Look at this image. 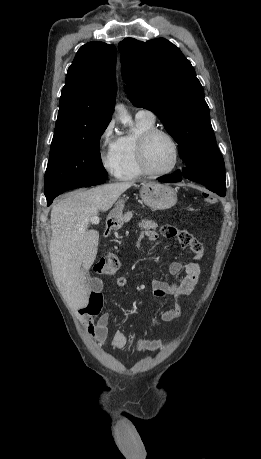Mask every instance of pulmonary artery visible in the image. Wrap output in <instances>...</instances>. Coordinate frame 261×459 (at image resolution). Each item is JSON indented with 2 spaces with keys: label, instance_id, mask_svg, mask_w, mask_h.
<instances>
[{
  "label": "pulmonary artery",
  "instance_id": "obj_1",
  "mask_svg": "<svg viewBox=\"0 0 261 459\" xmlns=\"http://www.w3.org/2000/svg\"><path fill=\"white\" fill-rule=\"evenodd\" d=\"M136 118L155 120V115L151 111L141 109L136 113Z\"/></svg>",
  "mask_w": 261,
  "mask_h": 459
}]
</instances>
